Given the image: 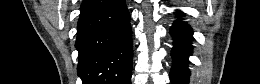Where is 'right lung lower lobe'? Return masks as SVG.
Listing matches in <instances>:
<instances>
[{
    "instance_id": "obj_1",
    "label": "right lung lower lobe",
    "mask_w": 260,
    "mask_h": 84,
    "mask_svg": "<svg viewBox=\"0 0 260 84\" xmlns=\"http://www.w3.org/2000/svg\"><path fill=\"white\" fill-rule=\"evenodd\" d=\"M75 46L83 84H131L132 31L125 0H84Z\"/></svg>"
}]
</instances>
